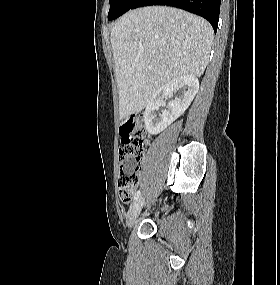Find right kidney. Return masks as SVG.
I'll return each mask as SVG.
<instances>
[{
	"label": "right kidney",
	"mask_w": 280,
	"mask_h": 285,
	"mask_svg": "<svg viewBox=\"0 0 280 285\" xmlns=\"http://www.w3.org/2000/svg\"><path fill=\"white\" fill-rule=\"evenodd\" d=\"M183 87L179 98L170 101L167 109L158 116L155 111L164 106V98L172 97L173 92ZM199 90V81L194 75H183L160 87L150 98L145 112L146 130L153 135L159 134L179 118L193 101Z\"/></svg>",
	"instance_id": "1"
}]
</instances>
